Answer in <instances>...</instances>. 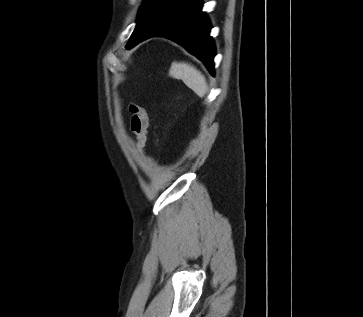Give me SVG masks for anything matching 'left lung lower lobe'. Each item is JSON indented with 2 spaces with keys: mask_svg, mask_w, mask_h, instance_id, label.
Segmentation results:
<instances>
[{
  "mask_svg": "<svg viewBox=\"0 0 363 317\" xmlns=\"http://www.w3.org/2000/svg\"><path fill=\"white\" fill-rule=\"evenodd\" d=\"M201 8L200 0H158L144 34L126 49L148 38L164 36L198 57L214 75L215 46L209 36L210 23Z\"/></svg>",
  "mask_w": 363,
  "mask_h": 317,
  "instance_id": "0a47b994",
  "label": "left lung lower lobe"
}]
</instances>
